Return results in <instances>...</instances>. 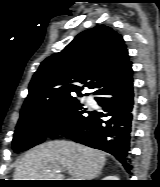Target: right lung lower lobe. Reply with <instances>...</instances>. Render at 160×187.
Masks as SVG:
<instances>
[{"instance_id": "1", "label": "right lung lower lobe", "mask_w": 160, "mask_h": 187, "mask_svg": "<svg viewBox=\"0 0 160 187\" xmlns=\"http://www.w3.org/2000/svg\"><path fill=\"white\" fill-rule=\"evenodd\" d=\"M95 94L99 95L95 100L105 113L91 111L66 137L112 154L129 172L132 169L129 151L134 105L132 64Z\"/></svg>"}]
</instances>
